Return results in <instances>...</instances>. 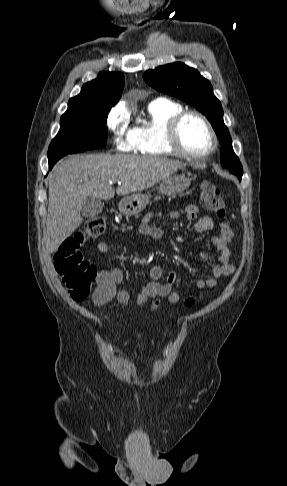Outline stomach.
Segmentation results:
<instances>
[{
	"label": "stomach",
	"instance_id": "1",
	"mask_svg": "<svg viewBox=\"0 0 287 486\" xmlns=\"http://www.w3.org/2000/svg\"><path fill=\"white\" fill-rule=\"evenodd\" d=\"M191 179L185 175H171L160 181L156 190L161 195H174L186 190L190 185ZM149 193H134L121 199L119 210L125 215H134L142 211L149 202Z\"/></svg>",
	"mask_w": 287,
	"mask_h": 486
}]
</instances>
